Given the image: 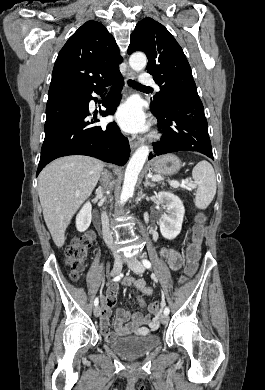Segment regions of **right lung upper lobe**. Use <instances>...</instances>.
<instances>
[{"mask_svg": "<svg viewBox=\"0 0 265 390\" xmlns=\"http://www.w3.org/2000/svg\"><path fill=\"white\" fill-rule=\"evenodd\" d=\"M114 37L97 21H87L56 59L48 101L83 95L118 74L122 62Z\"/></svg>", "mask_w": 265, "mask_h": 390, "instance_id": "obj_1", "label": "right lung upper lobe"}]
</instances>
